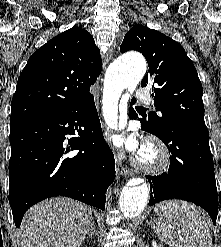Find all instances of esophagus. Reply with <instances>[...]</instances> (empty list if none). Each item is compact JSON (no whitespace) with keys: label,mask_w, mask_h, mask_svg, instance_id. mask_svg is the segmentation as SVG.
Here are the masks:
<instances>
[{"label":"esophagus","mask_w":221,"mask_h":247,"mask_svg":"<svg viewBox=\"0 0 221 247\" xmlns=\"http://www.w3.org/2000/svg\"><path fill=\"white\" fill-rule=\"evenodd\" d=\"M112 54H113V49L111 48V49L109 50V52L107 53V56H106V58H105V63H107V62L111 59ZM121 116H122V118L125 117V111H122V112H121ZM104 134H105L106 138H107L108 140H110L111 132H110L109 128H107V127L104 128ZM121 157H122V153H121V154H116V153H115V159H116V164H117V171H118L120 174L125 175V176H127V175H128V176L132 175V174H133L132 171L129 170L128 168H126V167L121 163V160H120Z\"/></svg>","instance_id":"1"}]
</instances>
